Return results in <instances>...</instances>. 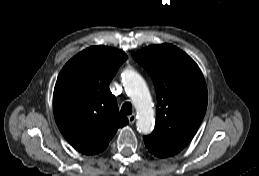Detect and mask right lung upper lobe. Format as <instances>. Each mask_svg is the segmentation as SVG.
I'll return each instance as SVG.
<instances>
[{
	"mask_svg": "<svg viewBox=\"0 0 259 176\" xmlns=\"http://www.w3.org/2000/svg\"><path fill=\"white\" fill-rule=\"evenodd\" d=\"M127 55L105 46L89 47L61 70L54 89L53 110L59 130L79 152L94 155L108 146L119 127V113L109 83Z\"/></svg>",
	"mask_w": 259,
	"mask_h": 176,
	"instance_id": "1",
	"label": "right lung upper lobe"
}]
</instances>
